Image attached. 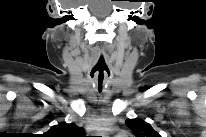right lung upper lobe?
<instances>
[{"label": "right lung upper lobe", "mask_w": 206, "mask_h": 137, "mask_svg": "<svg viewBox=\"0 0 206 137\" xmlns=\"http://www.w3.org/2000/svg\"><path fill=\"white\" fill-rule=\"evenodd\" d=\"M80 133V128H78L75 124L63 122L56 126H52L46 135L50 137H74Z\"/></svg>", "instance_id": "obj_1"}]
</instances>
